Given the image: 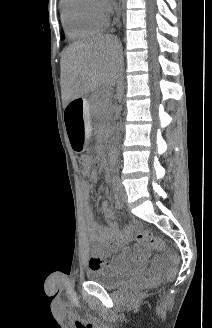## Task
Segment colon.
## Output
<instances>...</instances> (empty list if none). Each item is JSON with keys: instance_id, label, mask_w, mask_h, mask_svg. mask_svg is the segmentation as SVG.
Segmentation results:
<instances>
[{"instance_id": "5ec220e1", "label": "colon", "mask_w": 212, "mask_h": 328, "mask_svg": "<svg viewBox=\"0 0 212 328\" xmlns=\"http://www.w3.org/2000/svg\"><path fill=\"white\" fill-rule=\"evenodd\" d=\"M79 161H80L79 169L82 170L83 173H92L93 168H92V163H91L92 158L90 156V153H81ZM135 238L138 242L144 243V245L149 248H155L161 253H167V248L165 246L164 241L160 237L154 236L148 230L138 231L135 234ZM97 263H98V258L92 257L91 264H97ZM178 264H179L178 256L175 254H168V266H169L170 275L174 273Z\"/></svg>"}]
</instances>
